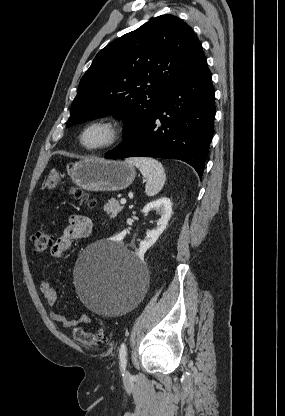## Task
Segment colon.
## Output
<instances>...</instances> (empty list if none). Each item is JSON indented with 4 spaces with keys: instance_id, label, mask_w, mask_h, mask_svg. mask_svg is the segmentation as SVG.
Returning <instances> with one entry per match:
<instances>
[{
    "instance_id": "1",
    "label": "colon",
    "mask_w": 285,
    "mask_h": 416,
    "mask_svg": "<svg viewBox=\"0 0 285 416\" xmlns=\"http://www.w3.org/2000/svg\"><path fill=\"white\" fill-rule=\"evenodd\" d=\"M70 193L81 202H84L90 206L93 205L92 200L80 189L73 188L70 190ZM32 251L35 254L43 253L49 249L53 244L52 236L44 230H40L34 233L31 238ZM73 336L80 343L89 346L97 347L100 346L104 341L103 330H98L96 332H87L80 327H76L73 330Z\"/></svg>"
}]
</instances>
